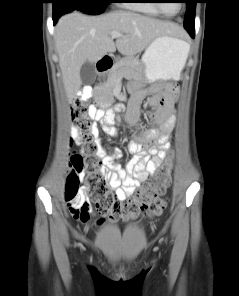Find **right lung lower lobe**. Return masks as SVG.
Listing matches in <instances>:
<instances>
[{
	"mask_svg": "<svg viewBox=\"0 0 239 296\" xmlns=\"http://www.w3.org/2000/svg\"><path fill=\"white\" fill-rule=\"evenodd\" d=\"M64 14L62 10H59L57 6L53 7V22L54 24L57 22L58 18Z\"/></svg>",
	"mask_w": 239,
	"mask_h": 296,
	"instance_id": "1",
	"label": "right lung lower lobe"
}]
</instances>
